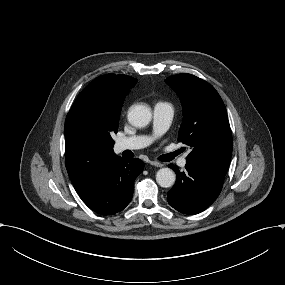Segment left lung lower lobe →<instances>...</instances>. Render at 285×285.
<instances>
[{"mask_svg": "<svg viewBox=\"0 0 285 285\" xmlns=\"http://www.w3.org/2000/svg\"><path fill=\"white\" fill-rule=\"evenodd\" d=\"M176 173V183L168 192V203L181 213L194 215L207 209L219 196L224 177L186 164L185 172L169 164Z\"/></svg>", "mask_w": 285, "mask_h": 285, "instance_id": "obj_1", "label": "left lung lower lobe"}]
</instances>
